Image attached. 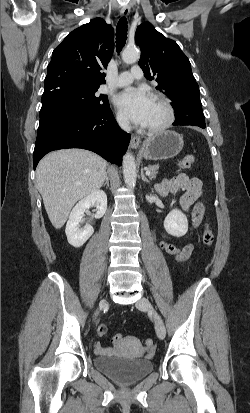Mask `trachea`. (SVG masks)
Wrapping results in <instances>:
<instances>
[{
    "label": "trachea",
    "instance_id": "obj_1",
    "mask_svg": "<svg viewBox=\"0 0 250 413\" xmlns=\"http://www.w3.org/2000/svg\"><path fill=\"white\" fill-rule=\"evenodd\" d=\"M127 39V19L122 17L116 28V50L119 53L124 47Z\"/></svg>",
    "mask_w": 250,
    "mask_h": 413
}]
</instances>
